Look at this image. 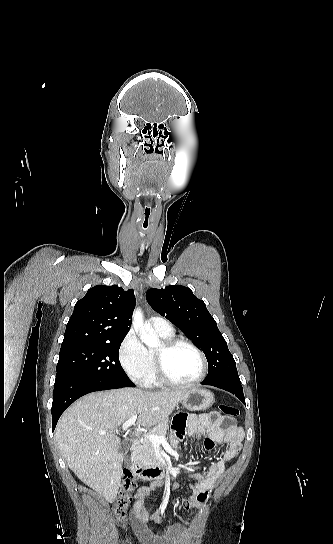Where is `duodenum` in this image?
Segmentation results:
<instances>
[{
	"label": "duodenum",
	"mask_w": 333,
	"mask_h": 544,
	"mask_svg": "<svg viewBox=\"0 0 333 544\" xmlns=\"http://www.w3.org/2000/svg\"><path fill=\"white\" fill-rule=\"evenodd\" d=\"M141 447V439L137 438L133 441L131 452L130 471L142 480L162 479L167 473V466L163 463L154 466H143L135 462V457Z\"/></svg>",
	"instance_id": "1"
}]
</instances>
